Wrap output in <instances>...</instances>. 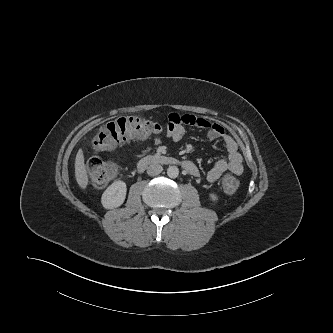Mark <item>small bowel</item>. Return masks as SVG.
Here are the masks:
<instances>
[{"mask_svg":"<svg viewBox=\"0 0 333 333\" xmlns=\"http://www.w3.org/2000/svg\"><path fill=\"white\" fill-rule=\"evenodd\" d=\"M186 126L206 129L208 139L211 141L222 140L228 152L226 159L218 160L213 168L206 173L205 178L208 183L216 182L226 171H230L235 175L242 174V157L238 151L237 143L232 136L225 132L221 125L210 123L204 118L195 117L193 115L172 113L168 118V137L174 142H179L185 134ZM153 142L154 144L160 143V138H155ZM183 163L186 165L185 169L192 176H199V170L194 162L186 160Z\"/></svg>","mask_w":333,"mask_h":333,"instance_id":"small-bowel-1","label":"small bowel"}]
</instances>
